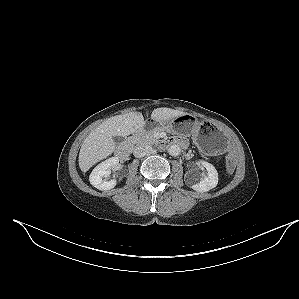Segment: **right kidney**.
<instances>
[{"instance_id": "ca27d5eb", "label": "right kidney", "mask_w": 299, "mask_h": 299, "mask_svg": "<svg viewBox=\"0 0 299 299\" xmlns=\"http://www.w3.org/2000/svg\"><path fill=\"white\" fill-rule=\"evenodd\" d=\"M119 164V158L111 157L98 164L89 176L90 183L97 189L110 190L116 186V180L110 179V169Z\"/></svg>"}]
</instances>
